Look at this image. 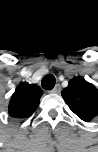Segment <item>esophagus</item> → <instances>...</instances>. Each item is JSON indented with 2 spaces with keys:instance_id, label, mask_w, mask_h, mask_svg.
Listing matches in <instances>:
<instances>
[{
  "instance_id": "esophagus-1",
  "label": "esophagus",
  "mask_w": 98,
  "mask_h": 152,
  "mask_svg": "<svg viewBox=\"0 0 98 152\" xmlns=\"http://www.w3.org/2000/svg\"><path fill=\"white\" fill-rule=\"evenodd\" d=\"M61 91V85L56 84L55 87L52 89L53 93H59Z\"/></svg>"
}]
</instances>
